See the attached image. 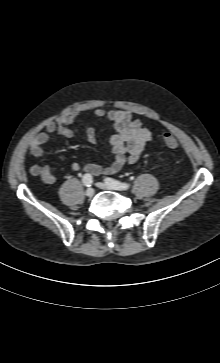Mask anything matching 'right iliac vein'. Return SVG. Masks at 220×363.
Here are the masks:
<instances>
[{
  "label": "right iliac vein",
  "instance_id": "obj_1",
  "mask_svg": "<svg viewBox=\"0 0 220 363\" xmlns=\"http://www.w3.org/2000/svg\"><path fill=\"white\" fill-rule=\"evenodd\" d=\"M94 189L92 187H89L87 190H86V196L88 197H92L94 195Z\"/></svg>",
  "mask_w": 220,
  "mask_h": 363
}]
</instances>
